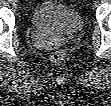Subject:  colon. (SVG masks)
I'll return each instance as SVG.
<instances>
[{
  "label": "colon",
  "instance_id": "obj_1",
  "mask_svg": "<svg viewBox=\"0 0 111 106\" xmlns=\"http://www.w3.org/2000/svg\"><path fill=\"white\" fill-rule=\"evenodd\" d=\"M65 54L62 50H57L51 56V59L55 63H60L64 60Z\"/></svg>",
  "mask_w": 111,
  "mask_h": 106
}]
</instances>
